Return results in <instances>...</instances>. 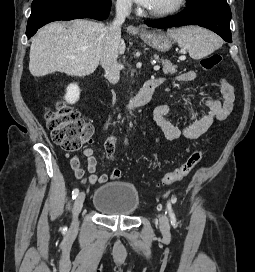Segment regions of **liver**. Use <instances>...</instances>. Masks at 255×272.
I'll list each match as a JSON object with an SVG mask.
<instances>
[{
  "label": "liver",
  "instance_id": "liver-1",
  "mask_svg": "<svg viewBox=\"0 0 255 272\" xmlns=\"http://www.w3.org/2000/svg\"><path fill=\"white\" fill-rule=\"evenodd\" d=\"M103 23L86 19L65 25L53 22L42 27L32 39L29 71L34 77L54 72L86 76L99 65L107 36ZM125 43L120 41L118 52L123 54Z\"/></svg>",
  "mask_w": 255,
  "mask_h": 272
}]
</instances>
